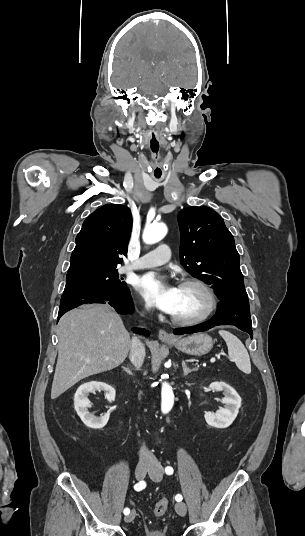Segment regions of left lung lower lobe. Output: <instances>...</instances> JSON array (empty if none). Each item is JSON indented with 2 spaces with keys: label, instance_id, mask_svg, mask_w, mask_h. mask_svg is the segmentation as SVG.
Listing matches in <instances>:
<instances>
[{
  "label": "left lung lower lobe",
  "instance_id": "1",
  "mask_svg": "<svg viewBox=\"0 0 305 536\" xmlns=\"http://www.w3.org/2000/svg\"><path fill=\"white\" fill-rule=\"evenodd\" d=\"M218 325H234L253 336L252 322L248 298L222 300L217 307L214 317L201 325L178 328L173 331L176 335L191 334L206 331Z\"/></svg>",
  "mask_w": 305,
  "mask_h": 536
}]
</instances>
